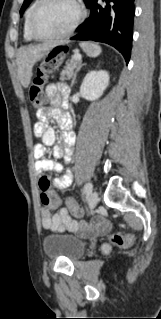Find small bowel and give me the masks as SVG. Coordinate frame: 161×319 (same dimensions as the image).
Returning a JSON list of instances; mask_svg holds the SVG:
<instances>
[{
	"instance_id": "1",
	"label": "small bowel",
	"mask_w": 161,
	"mask_h": 319,
	"mask_svg": "<svg viewBox=\"0 0 161 319\" xmlns=\"http://www.w3.org/2000/svg\"><path fill=\"white\" fill-rule=\"evenodd\" d=\"M45 92L51 105L37 112L38 121L33 127L34 135L42 140V143H36L33 146V156L36 159L35 171L37 174L44 172L59 173L60 176L54 181V187L58 190H65L71 185L73 174L70 169L64 170L61 164L45 158V147L53 145V156L56 158L64 157L67 162L73 156L75 135L71 131L70 118L61 109L67 107L70 88L66 82L58 81L48 84ZM52 118L57 120L62 128L61 138L57 144H55L56 134L54 129L47 127L48 121ZM72 215L81 216L82 209L72 198H68L66 206H62L56 213H52L48 208L42 209L41 222L43 227L51 232L70 230L74 233H103L108 230L103 219L78 222L72 218Z\"/></svg>"
}]
</instances>
